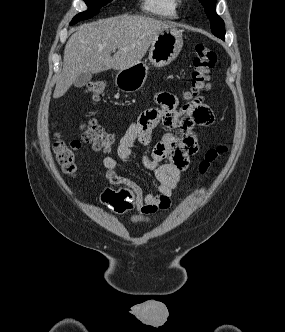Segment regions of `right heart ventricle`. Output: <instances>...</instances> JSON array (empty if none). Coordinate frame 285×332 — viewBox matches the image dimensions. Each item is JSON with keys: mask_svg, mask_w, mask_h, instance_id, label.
<instances>
[{"mask_svg": "<svg viewBox=\"0 0 285 332\" xmlns=\"http://www.w3.org/2000/svg\"><path fill=\"white\" fill-rule=\"evenodd\" d=\"M178 0H142V10L161 19H175L178 17Z\"/></svg>", "mask_w": 285, "mask_h": 332, "instance_id": "e07e8e85", "label": "right heart ventricle"}]
</instances>
